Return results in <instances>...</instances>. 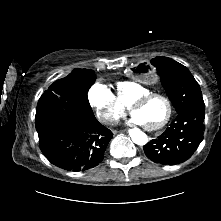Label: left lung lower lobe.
Returning <instances> with one entry per match:
<instances>
[{"mask_svg":"<svg viewBox=\"0 0 221 221\" xmlns=\"http://www.w3.org/2000/svg\"><path fill=\"white\" fill-rule=\"evenodd\" d=\"M204 118V106L191 107L178 113L162 135L144 145L145 155L155 163H183L203 140Z\"/></svg>","mask_w":221,"mask_h":221,"instance_id":"0a47b994","label":"left lung lower lobe"}]
</instances>
